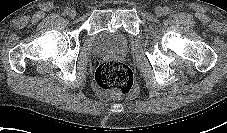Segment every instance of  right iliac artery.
I'll use <instances>...</instances> for the list:
<instances>
[{
	"label": "right iliac artery",
	"instance_id": "obj_1",
	"mask_svg": "<svg viewBox=\"0 0 227 133\" xmlns=\"http://www.w3.org/2000/svg\"><path fill=\"white\" fill-rule=\"evenodd\" d=\"M69 12H70V8H66V9L64 10V14H66V15H68Z\"/></svg>",
	"mask_w": 227,
	"mask_h": 133
}]
</instances>
